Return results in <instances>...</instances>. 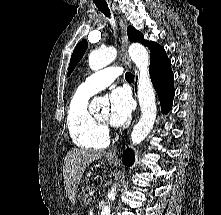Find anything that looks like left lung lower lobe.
I'll list each match as a JSON object with an SVG mask.
<instances>
[{"label": "left lung lower lobe", "instance_id": "0a47b994", "mask_svg": "<svg viewBox=\"0 0 221 215\" xmlns=\"http://www.w3.org/2000/svg\"><path fill=\"white\" fill-rule=\"evenodd\" d=\"M149 72L153 86L160 99L161 110L166 114L172 108L175 94L173 86L174 75L171 70V61L167 57L164 48L160 45L151 54ZM122 159L128 166H131L134 162L133 151L131 149L125 150Z\"/></svg>", "mask_w": 221, "mask_h": 215}]
</instances>
